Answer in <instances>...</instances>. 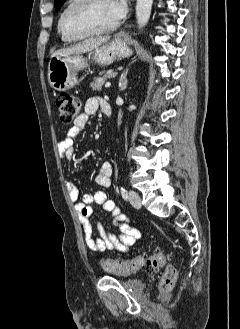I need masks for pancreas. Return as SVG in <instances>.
<instances>
[{
  "instance_id": "obj_1",
  "label": "pancreas",
  "mask_w": 240,
  "mask_h": 329,
  "mask_svg": "<svg viewBox=\"0 0 240 329\" xmlns=\"http://www.w3.org/2000/svg\"><path fill=\"white\" fill-rule=\"evenodd\" d=\"M114 76V73H108L103 75L102 77L94 78L93 82L90 84V87L93 91H101L103 84L107 81V79Z\"/></svg>"
}]
</instances>
